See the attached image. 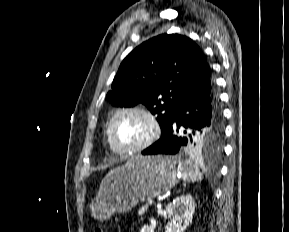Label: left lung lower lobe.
<instances>
[{
	"mask_svg": "<svg viewBox=\"0 0 289 232\" xmlns=\"http://www.w3.org/2000/svg\"><path fill=\"white\" fill-rule=\"evenodd\" d=\"M222 123L211 68L206 62L180 96L166 132L143 155L185 153L196 135Z\"/></svg>",
	"mask_w": 289,
	"mask_h": 232,
	"instance_id": "left-lung-lower-lobe-1",
	"label": "left lung lower lobe"
}]
</instances>
